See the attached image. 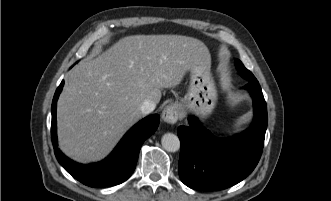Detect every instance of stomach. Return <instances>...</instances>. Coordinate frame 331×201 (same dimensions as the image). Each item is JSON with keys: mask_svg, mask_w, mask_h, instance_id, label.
Here are the masks:
<instances>
[{"mask_svg": "<svg viewBox=\"0 0 331 201\" xmlns=\"http://www.w3.org/2000/svg\"><path fill=\"white\" fill-rule=\"evenodd\" d=\"M210 54L202 55L192 62L188 91L178 106L201 120L207 119L217 102V89L211 75Z\"/></svg>", "mask_w": 331, "mask_h": 201, "instance_id": "1", "label": "stomach"}]
</instances>
